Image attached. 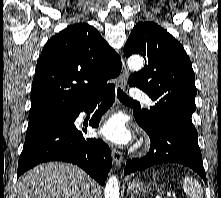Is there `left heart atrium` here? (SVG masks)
<instances>
[{
	"label": "left heart atrium",
	"instance_id": "obj_1",
	"mask_svg": "<svg viewBox=\"0 0 221 198\" xmlns=\"http://www.w3.org/2000/svg\"><path fill=\"white\" fill-rule=\"evenodd\" d=\"M100 134L106 140L122 145L129 142L131 133L127 129L123 118L119 116L109 119L100 129Z\"/></svg>",
	"mask_w": 221,
	"mask_h": 198
}]
</instances>
